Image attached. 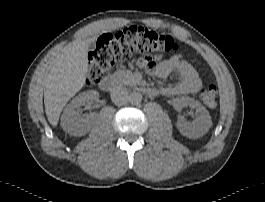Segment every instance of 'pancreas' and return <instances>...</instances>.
<instances>
[{"label":"pancreas","instance_id":"obj_1","mask_svg":"<svg viewBox=\"0 0 265 202\" xmlns=\"http://www.w3.org/2000/svg\"><path fill=\"white\" fill-rule=\"evenodd\" d=\"M115 75L120 79L123 84L130 86L137 84V80L135 79L134 74L130 70L119 69L116 71Z\"/></svg>","mask_w":265,"mask_h":202}]
</instances>
